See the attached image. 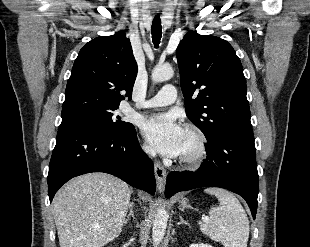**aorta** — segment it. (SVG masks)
<instances>
[{
    "mask_svg": "<svg viewBox=\"0 0 310 247\" xmlns=\"http://www.w3.org/2000/svg\"><path fill=\"white\" fill-rule=\"evenodd\" d=\"M174 75L173 68L169 65H163L156 67L152 72V81L155 83L163 82L171 79ZM168 213L164 207L157 208L153 228H152V239L153 245L157 247L165 235Z\"/></svg>",
    "mask_w": 310,
    "mask_h": 247,
    "instance_id": "762f6f07",
    "label": "aorta"
}]
</instances>
